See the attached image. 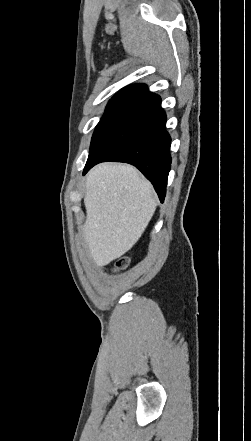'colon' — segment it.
<instances>
[{
  "label": "colon",
  "mask_w": 251,
  "mask_h": 441,
  "mask_svg": "<svg viewBox=\"0 0 251 441\" xmlns=\"http://www.w3.org/2000/svg\"><path fill=\"white\" fill-rule=\"evenodd\" d=\"M128 259H121L116 263V269H123L128 265Z\"/></svg>",
  "instance_id": "1"
}]
</instances>
